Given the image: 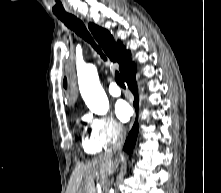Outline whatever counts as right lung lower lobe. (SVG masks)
Wrapping results in <instances>:
<instances>
[{
	"instance_id": "1",
	"label": "right lung lower lobe",
	"mask_w": 221,
	"mask_h": 193,
	"mask_svg": "<svg viewBox=\"0 0 221 193\" xmlns=\"http://www.w3.org/2000/svg\"><path fill=\"white\" fill-rule=\"evenodd\" d=\"M135 73H136V67H134L132 70H130L124 77V81L127 83L129 89L131 90V92L133 93L134 97H135V100H134V107H135V110L136 112H138V94H137V87H136V81H135ZM138 121H137V118H136V121L133 125V128L132 130L130 131L127 139H126V142L124 144V150L127 152V153H131L132 150H133V147L136 143V138H137V135H138Z\"/></svg>"
}]
</instances>
